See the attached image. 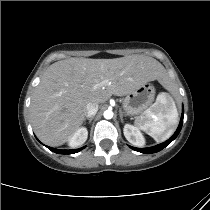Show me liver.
<instances>
[{
	"label": "liver",
	"mask_w": 210,
	"mask_h": 210,
	"mask_svg": "<svg viewBox=\"0 0 210 210\" xmlns=\"http://www.w3.org/2000/svg\"><path fill=\"white\" fill-rule=\"evenodd\" d=\"M154 80L166 86L165 70L144 55L55 62L45 70L32 97L33 129L43 143L60 146L82 125L89 102L102 104L112 95L125 96Z\"/></svg>",
	"instance_id": "obj_1"
}]
</instances>
